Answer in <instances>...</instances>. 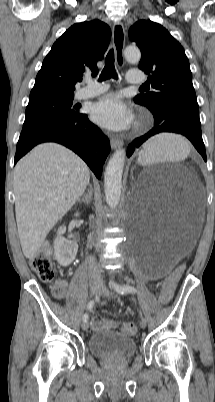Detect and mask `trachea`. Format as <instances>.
Masks as SVG:
<instances>
[{"label":"trachea","instance_id":"3493384b","mask_svg":"<svg viewBox=\"0 0 215 402\" xmlns=\"http://www.w3.org/2000/svg\"><path fill=\"white\" fill-rule=\"evenodd\" d=\"M114 78L117 79V73L114 66V50L111 49L105 59V67L101 72L99 81Z\"/></svg>","mask_w":215,"mask_h":402}]
</instances>
